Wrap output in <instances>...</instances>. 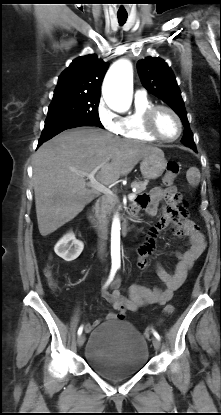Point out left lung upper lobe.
<instances>
[{"label":"left lung upper lobe","mask_w":221,"mask_h":415,"mask_svg":"<svg viewBox=\"0 0 221 415\" xmlns=\"http://www.w3.org/2000/svg\"><path fill=\"white\" fill-rule=\"evenodd\" d=\"M137 69L143 86L166 102L181 118L185 127L181 142L190 148L195 147L181 92L167 63L161 58L147 57L138 61Z\"/></svg>","instance_id":"5c2ea615"}]
</instances>
